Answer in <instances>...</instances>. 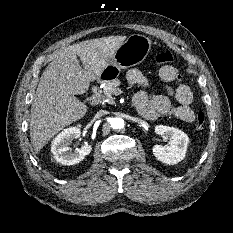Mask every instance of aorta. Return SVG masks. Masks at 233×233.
Instances as JSON below:
<instances>
[{
  "label": "aorta",
  "instance_id": "aorta-1",
  "mask_svg": "<svg viewBox=\"0 0 233 233\" xmlns=\"http://www.w3.org/2000/svg\"><path fill=\"white\" fill-rule=\"evenodd\" d=\"M110 124L113 129H122L124 127V120L121 118H112Z\"/></svg>",
  "mask_w": 233,
  "mask_h": 233
}]
</instances>
